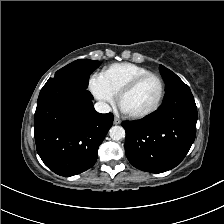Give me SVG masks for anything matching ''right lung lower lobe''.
<instances>
[{
    "instance_id": "right-lung-lower-lobe-1",
    "label": "right lung lower lobe",
    "mask_w": 224,
    "mask_h": 224,
    "mask_svg": "<svg viewBox=\"0 0 224 224\" xmlns=\"http://www.w3.org/2000/svg\"><path fill=\"white\" fill-rule=\"evenodd\" d=\"M92 99L85 88L63 81L48 80L40 91L34 117L36 148L58 175H77L97 160L114 116L96 112Z\"/></svg>"
}]
</instances>
